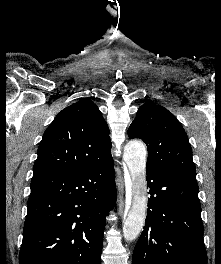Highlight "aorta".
Listing matches in <instances>:
<instances>
[{
	"instance_id": "762f6f07",
	"label": "aorta",
	"mask_w": 221,
	"mask_h": 264,
	"mask_svg": "<svg viewBox=\"0 0 221 264\" xmlns=\"http://www.w3.org/2000/svg\"><path fill=\"white\" fill-rule=\"evenodd\" d=\"M146 154V146L140 141H129L124 147L123 159L130 174L126 188L131 197V207L123 226V236L128 242L140 235L146 219Z\"/></svg>"
}]
</instances>
